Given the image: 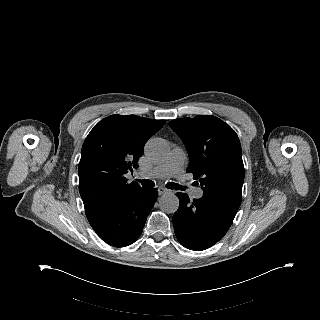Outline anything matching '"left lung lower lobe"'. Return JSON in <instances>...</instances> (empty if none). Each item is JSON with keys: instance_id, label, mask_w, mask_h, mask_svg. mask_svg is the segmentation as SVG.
Masks as SVG:
<instances>
[{"instance_id": "left-lung-lower-lobe-1", "label": "left lung lower lobe", "mask_w": 320, "mask_h": 320, "mask_svg": "<svg viewBox=\"0 0 320 320\" xmlns=\"http://www.w3.org/2000/svg\"><path fill=\"white\" fill-rule=\"evenodd\" d=\"M179 208L173 216L178 241L190 250L201 251L217 243L230 228L236 210L212 198L191 201L186 193H177Z\"/></svg>"}]
</instances>
